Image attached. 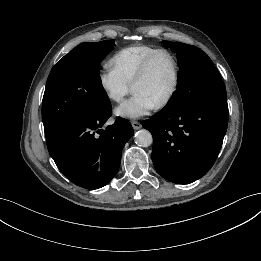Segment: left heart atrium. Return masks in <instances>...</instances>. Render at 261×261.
Here are the masks:
<instances>
[{"label": "left heart atrium", "mask_w": 261, "mask_h": 261, "mask_svg": "<svg viewBox=\"0 0 261 261\" xmlns=\"http://www.w3.org/2000/svg\"><path fill=\"white\" fill-rule=\"evenodd\" d=\"M155 106L156 104L147 96L140 92H134L116 109V114L125 118H140L147 115Z\"/></svg>", "instance_id": "1"}]
</instances>
